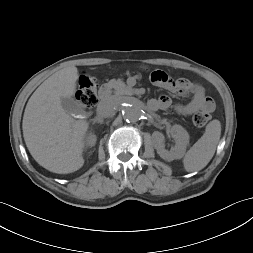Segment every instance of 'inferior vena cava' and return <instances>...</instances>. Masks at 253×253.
I'll use <instances>...</instances> for the list:
<instances>
[{"label":"inferior vena cava","mask_w":253,"mask_h":253,"mask_svg":"<svg viewBox=\"0 0 253 253\" xmlns=\"http://www.w3.org/2000/svg\"><path fill=\"white\" fill-rule=\"evenodd\" d=\"M116 107L117 105L115 100L111 98L103 99L97 106L98 118L111 116L115 112Z\"/></svg>","instance_id":"obj_1"}]
</instances>
